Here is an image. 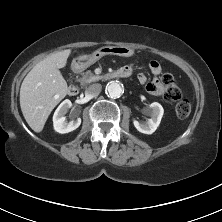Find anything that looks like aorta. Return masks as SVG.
<instances>
[{
	"mask_svg": "<svg viewBox=\"0 0 222 222\" xmlns=\"http://www.w3.org/2000/svg\"><path fill=\"white\" fill-rule=\"evenodd\" d=\"M106 93L112 98L120 97L123 93V87L119 82L111 81L106 86Z\"/></svg>",
	"mask_w": 222,
	"mask_h": 222,
	"instance_id": "762f6f07",
	"label": "aorta"
}]
</instances>
